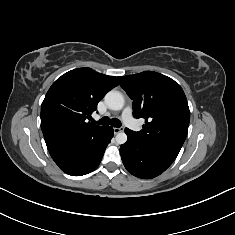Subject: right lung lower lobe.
I'll list each match as a JSON object with an SVG mask.
<instances>
[{"mask_svg":"<svg viewBox=\"0 0 235 235\" xmlns=\"http://www.w3.org/2000/svg\"><path fill=\"white\" fill-rule=\"evenodd\" d=\"M112 127H105L92 136L74 141L65 147L50 152L52 159L65 173L81 176L95 170L113 137Z\"/></svg>","mask_w":235,"mask_h":235,"instance_id":"right-lung-lower-lobe-1","label":"right lung lower lobe"}]
</instances>
